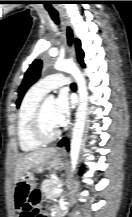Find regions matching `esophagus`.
<instances>
[{
    "label": "esophagus",
    "instance_id": "esophagus-1",
    "mask_svg": "<svg viewBox=\"0 0 132 217\" xmlns=\"http://www.w3.org/2000/svg\"><path fill=\"white\" fill-rule=\"evenodd\" d=\"M64 22H65L67 46H68L69 52L71 54H74L75 53V45H74L75 33H74V29H73L70 21L66 17L64 18ZM71 131H72V123L69 126V129L67 131V134H66L67 137H69V135L71 134ZM60 152L65 154L64 147L60 148Z\"/></svg>",
    "mask_w": 132,
    "mask_h": 217
}]
</instances>
